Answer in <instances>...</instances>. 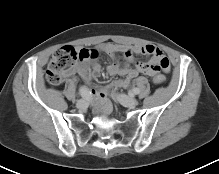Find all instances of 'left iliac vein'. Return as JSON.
Segmentation results:
<instances>
[{"label":"left iliac vein","mask_w":219,"mask_h":174,"mask_svg":"<svg viewBox=\"0 0 219 174\" xmlns=\"http://www.w3.org/2000/svg\"><path fill=\"white\" fill-rule=\"evenodd\" d=\"M116 99L126 107H135L138 104L137 99L132 96H127L124 94H116Z\"/></svg>","instance_id":"obj_1"}]
</instances>
